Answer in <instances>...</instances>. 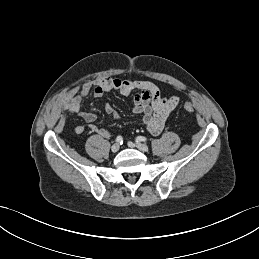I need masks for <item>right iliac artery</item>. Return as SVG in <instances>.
<instances>
[{"instance_id":"82829eb1","label":"right iliac artery","mask_w":259,"mask_h":259,"mask_svg":"<svg viewBox=\"0 0 259 259\" xmlns=\"http://www.w3.org/2000/svg\"><path fill=\"white\" fill-rule=\"evenodd\" d=\"M116 142L119 143V144H122L123 143V138L121 136H118L116 138Z\"/></svg>"}]
</instances>
